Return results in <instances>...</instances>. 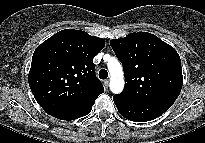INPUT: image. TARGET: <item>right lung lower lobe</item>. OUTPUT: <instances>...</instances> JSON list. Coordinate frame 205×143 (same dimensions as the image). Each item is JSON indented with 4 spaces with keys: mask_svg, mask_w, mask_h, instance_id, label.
I'll return each mask as SVG.
<instances>
[{
    "mask_svg": "<svg viewBox=\"0 0 205 143\" xmlns=\"http://www.w3.org/2000/svg\"><path fill=\"white\" fill-rule=\"evenodd\" d=\"M95 100L96 99H94L91 103H89L84 108L76 112H47V113L61 120H67V121L74 120V119H77V118H80V117H83L89 114L90 111L92 110V106L94 105Z\"/></svg>",
    "mask_w": 205,
    "mask_h": 143,
    "instance_id": "obj_1",
    "label": "right lung lower lobe"
}]
</instances>
